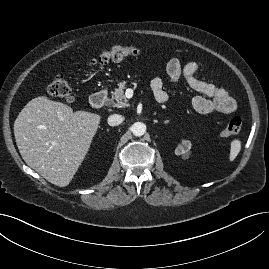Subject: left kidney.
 <instances>
[{
	"instance_id": "1",
	"label": "left kidney",
	"mask_w": 269,
	"mask_h": 269,
	"mask_svg": "<svg viewBox=\"0 0 269 269\" xmlns=\"http://www.w3.org/2000/svg\"><path fill=\"white\" fill-rule=\"evenodd\" d=\"M191 146L192 144L189 140H184L182 142V145L176 147L174 152L176 155H182L183 159H188L190 155Z\"/></svg>"
}]
</instances>
